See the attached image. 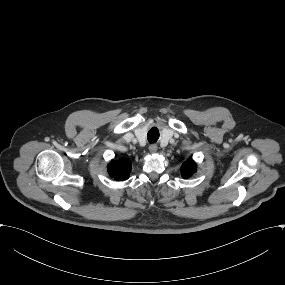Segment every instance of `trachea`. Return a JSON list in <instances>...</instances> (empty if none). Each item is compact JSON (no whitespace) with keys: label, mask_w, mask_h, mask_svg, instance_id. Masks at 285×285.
<instances>
[{"label":"trachea","mask_w":285,"mask_h":285,"mask_svg":"<svg viewBox=\"0 0 285 285\" xmlns=\"http://www.w3.org/2000/svg\"><path fill=\"white\" fill-rule=\"evenodd\" d=\"M147 139L150 144L155 143L159 139V131L157 128H152L147 134Z\"/></svg>","instance_id":"obj_1"}]
</instances>
